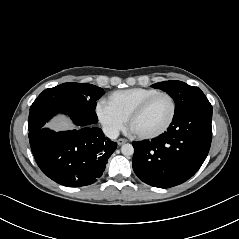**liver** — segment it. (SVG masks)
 <instances>
[{
    "mask_svg": "<svg viewBox=\"0 0 239 239\" xmlns=\"http://www.w3.org/2000/svg\"><path fill=\"white\" fill-rule=\"evenodd\" d=\"M48 127L56 131H59V130L72 129L73 125L68 119H65L64 117H60L52 121L50 124H48Z\"/></svg>",
    "mask_w": 239,
    "mask_h": 239,
    "instance_id": "obj_1",
    "label": "liver"
}]
</instances>
